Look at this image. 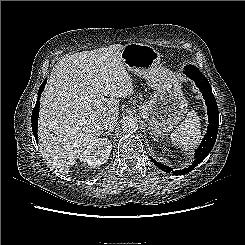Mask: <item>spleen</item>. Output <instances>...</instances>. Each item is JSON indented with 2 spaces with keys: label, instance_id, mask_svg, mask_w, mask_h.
Wrapping results in <instances>:
<instances>
[{
  "label": "spleen",
  "instance_id": "spleen-1",
  "mask_svg": "<svg viewBox=\"0 0 245 245\" xmlns=\"http://www.w3.org/2000/svg\"><path fill=\"white\" fill-rule=\"evenodd\" d=\"M201 123L197 113L188 112L185 120L171 133V140L175 146L182 150L194 149L201 138Z\"/></svg>",
  "mask_w": 245,
  "mask_h": 245
}]
</instances>
